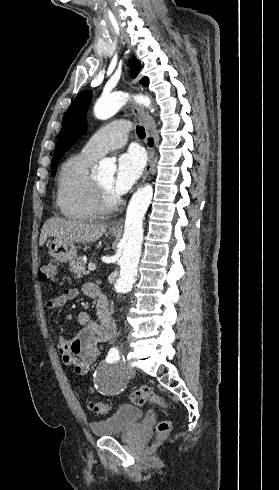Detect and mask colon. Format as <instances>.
<instances>
[{"instance_id":"obj_1","label":"colon","mask_w":279,"mask_h":490,"mask_svg":"<svg viewBox=\"0 0 279 490\" xmlns=\"http://www.w3.org/2000/svg\"><path fill=\"white\" fill-rule=\"evenodd\" d=\"M57 268L58 264L55 260H50L45 263L40 269V277L42 279L55 280L57 278ZM131 402L138 407L143 406L147 402H152L159 405L163 409L168 408V402L165 401L161 396H159L152 388L146 387L142 389L135 390L131 394ZM89 409L96 415H109L111 414L115 407L114 404L107 400H90L88 404ZM170 428L169 422L167 420H162L158 429L161 433H166ZM161 441L167 440L166 434L160 435Z\"/></svg>"}]
</instances>
